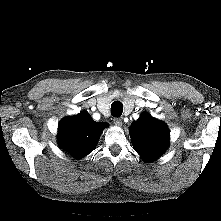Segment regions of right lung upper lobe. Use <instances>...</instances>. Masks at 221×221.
Segmentation results:
<instances>
[{
	"label": "right lung upper lobe",
	"mask_w": 221,
	"mask_h": 221,
	"mask_svg": "<svg viewBox=\"0 0 221 221\" xmlns=\"http://www.w3.org/2000/svg\"><path fill=\"white\" fill-rule=\"evenodd\" d=\"M106 123L96 122L87 112L64 118L58 127V144L77 159L94 150Z\"/></svg>",
	"instance_id": "obj_1"
}]
</instances>
